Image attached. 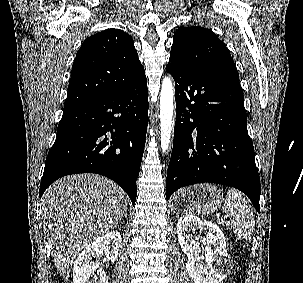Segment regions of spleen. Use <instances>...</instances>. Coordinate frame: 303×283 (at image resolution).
<instances>
[{"mask_svg": "<svg viewBox=\"0 0 303 283\" xmlns=\"http://www.w3.org/2000/svg\"><path fill=\"white\" fill-rule=\"evenodd\" d=\"M222 210L231 219V226L236 239L249 240L255 228V220L248 201L242 198L237 190L229 189Z\"/></svg>", "mask_w": 303, "mask_h": 283, "instance_id": "obj_1", "label": "spleen"}]
</instances>
